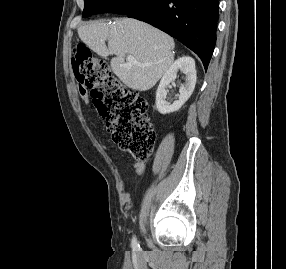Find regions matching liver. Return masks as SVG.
<instances>
[{
	"label": "liver",
	"instance_id": "1",
	"mask_svg": "<svg viewBox=\"0 0 286 269\" xmlns=\"http://www.w3.org/2000/svg\"><path fill=\"white\" fill-rule=\"evenodd\" d=\"M78 35L101 57L114 54L116 57L110 62L112 71L133 90L151 89L174 60L173 38L136 19H118L112 25L104 21L91 22L78 28ZM126 55L133 56L137 64L125 62Z\"/></svg>",
	"mask_w": 286,
	"mask_h": 269
}]
</instances>
